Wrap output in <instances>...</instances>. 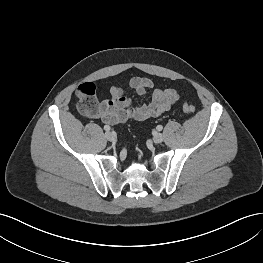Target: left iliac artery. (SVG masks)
I'll return each instance as SVG.
<instances>
[{"instance_id":"1","label":"left iliac artery","mask_w":263,"mask_h":263,"mask_svg":"<svg viewBox=\"0 0 263 263\" xmlns=\"http://www.w3.org/2000/svg\"><path fill=\"white\" fill-rule=\"evenodd\" d=\"M156 129H157L158 131H161V130L163 129V126H162V125H158V126L156 127Z\"/></svg>"}]
</instances>
